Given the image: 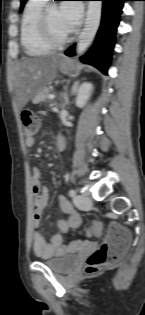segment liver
<instances>
[{"instance_id":"obj_1","label":"liver","mask_w":145,"mask_h":315,"mask_svg":"<svg viewBox=\"0 0 145 315\" xmlns=\"http://www.w3.org/2000/svg\"><path fill=\"white\" fill-rule=\"evenodd\" d=\"M61 58V54H55L21 61L15 82V110L22 109L53 81Z\"/></svg>"}]
</instances>
